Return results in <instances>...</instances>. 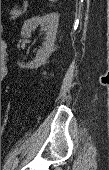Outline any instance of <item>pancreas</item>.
I'll use <instances>...</instances> for the list:
<instances>
[{"instance_id": "pancreas-1", "label": "pancreas", "mask_w": 109, "mask_h": 170, "mask_svg": "<svg viewBox=\"0 0 109 170\" xmlns=\"http://www.w3.org/2000/svg\"><path fill=\"white\" fill-rule=\"evenodd\" d=\"M26 11V8L24 6L23 11L20 9H13L9 12V18L10 19H17L19 16H21Z\"/></svg>"}]
</instances>
